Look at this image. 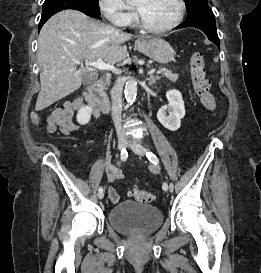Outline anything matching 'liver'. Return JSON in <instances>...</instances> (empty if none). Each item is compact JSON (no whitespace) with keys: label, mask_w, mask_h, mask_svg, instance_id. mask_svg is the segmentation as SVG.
Returning <instances> with one entry per match:
<instances>
[{"label":"liver","mask_w":261,"mask_h":273,"mask_svg":"<svg viewBox=\"0 0 261 273\" xmlns=\"http://www.w3.org/2000/svg\"><path fill=\"white\" fill-rule=\"evenodd\" d=\"M131 37L129 33L77 10L67 9L53 15L38 37L41 89L36 111L49 107L81 87V74L88 70L78 69L77 62L101 59L114 65L123 61L127 56L123 43Z\"/></svg>","instance_id":"obj_1"}]
</instances>
